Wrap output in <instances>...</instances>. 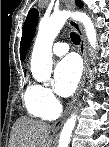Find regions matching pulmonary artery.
Instances as JSON below:
<instances>
[{
    "mask_svg": "<svg viewBox=\"0 0 109 147\" xmlns=\"http://www.w3.org/2000/svg\"><path fill=\"white\" fill-rule=\"evenodd\" d=\"M69 51V46L65 42H56L53 45L52 52L56 56H63Z\"/></svg>",
    "mask_w": 109,
    "mask_h": 147,
    "instance_id": "e3ab8cb5",
    "label": "pulmonary artery"
}]
</instances>
